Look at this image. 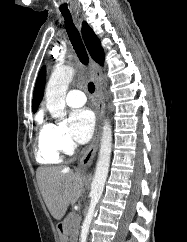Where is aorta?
Segmentation results:
<instances>
[{
    "label": "aorta",
    "mask_w": 187,
    "mask_h": 242,
    "mask_svg": "<svg viewBox=\"0 0 187 242\" xmlns=\"http://www.w3.org/2000/svg\"><path fill=\"white\" fill-rule=\"evenodd\" d=\"M74 76V69L71 66H57L53 71L45 91L46 106L51 116L56 119H63L65 113V96ZM112 151V130L110 121L105 120L103 125L100 149L96 170L91 185V202L88 213L83 223L81 242H86L89 226L95 214L97 203L103 193L107 179L110 158Z\"/></svg>",
    "instance_id": "obj_1"
}]
</instances>
